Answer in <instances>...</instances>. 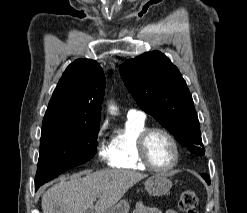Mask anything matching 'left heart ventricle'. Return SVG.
Instances as JSON below:
<instances>
[{
    "instance_id": "left-heart-ventricle-1",
    "label": "left heart ventricle",
    "mask_w": 247,
    "mask_h": 213,
    "mask_svg": "<svg viewBox=\"0 0 247 213\" xmlns=\"http://www.w3.org/2000/svg\"><path fill=\"white\" fill-rule=\"evenodd\" d=\"M147 153L157 167H167L174 159V150L169 138L160 132L152 133L147 141Z\"/></svg>"
}]
</instances>
